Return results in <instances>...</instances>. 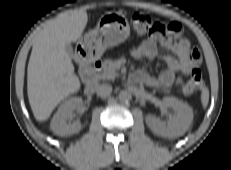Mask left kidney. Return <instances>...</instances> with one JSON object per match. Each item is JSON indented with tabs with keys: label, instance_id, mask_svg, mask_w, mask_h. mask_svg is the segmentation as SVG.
<instances>
[{
	"label": "left kidney",
	"instance_id": "5707ae66",
	"mask_svg": "<svg viewBox=\"0 0 231 170\" xmlns=\"http://www.w3.org/2000/svg\"><path fill=\"white\" fill-rule=\"evenodd\" d=\"M162 104L171 108L174 114L167 123L153 115H147L145 121L148 127L153 133L163 137L176 138L183 135L193 121L192 108L175 97H164Z\"/></svg>",
	"mask_w": 231,
	"mask_h": 170
}]
</instances>
